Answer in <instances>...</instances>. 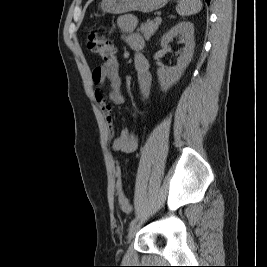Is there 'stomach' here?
Segmentation results:
<instances>
[{
	"label": "stomach",
	"instance_id": "stomach-1",
	"mask_svg": "<svg viewBox=\"0 0 267 267\" xmlns=\"http://www.w3.org/2000/svg\"><path fill=\"white\" fill-rule=\"evenodd\" d=\"M170 0H102L99 8L105 13L123 14L131 11L153 12Z\"/></svg>",
	"mask_w": 267,
	"mask_h": 267
}]
</instances>
